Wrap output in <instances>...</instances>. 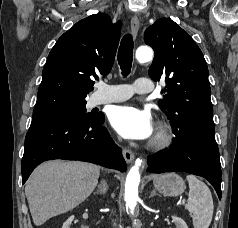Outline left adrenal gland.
<instances>
[{
	"instance_id": "left-adrenal-gland-1",
	"label": "left adrenal gland",
	"mask_w": 238,
	"mask_h": 228,
	"mask_svg": "<svg viewBox=\"0 0 238 228\" xmlns=\"http://www.w3.org/2000/svg\"><path fill=\"white\" fill-rule=\"evenodd\" d=\"M155 195H158V194H157L156 190L154 189V190L151 192V194H150V198L153 197V196H155Z\"/></svg>"
}]
</instances>
